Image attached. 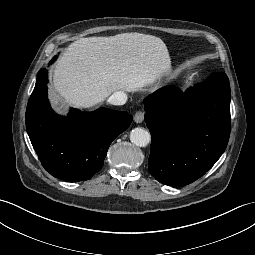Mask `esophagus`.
Here are the masks:
<instances>
[{"instance_id": "34e87169", "label": "esophagus", "mask_w": 255, "mask_h": 255, "mask_svg": "<svg viewBox=\"0 0 255 255\" xmlns=\"http://www.w3.org/2000/svg\"><path fill=\"white\" fill-rule=\"evenodd\" d=\"M143 119H144V113L143 112L138 111V112L135 113L134 121L136 123H142Z\"/></svg>"}]
</instances>
